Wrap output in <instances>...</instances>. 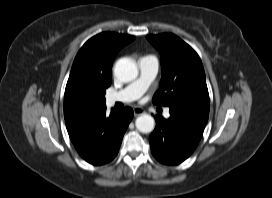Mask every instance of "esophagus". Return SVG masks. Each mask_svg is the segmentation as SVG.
<instances>
[{
    "mask_svg": "<svg viewBox=\"0 0 272 198\" xmlns=\"http://www.w3.org/2000/svg\"><path fill=\"white\" fill-rule=\"evenodd\" d=\"M133 111H134V116H139L145 113V110L141 107H134Z\"/></svg>",
    "mask_w": 272,
    "mask_h": 198,
    "instance_id": "obj_1",
    "label": "esophagus"
}]
</instances>
